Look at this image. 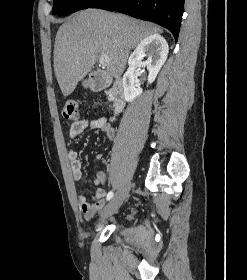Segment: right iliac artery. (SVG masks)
Wrapping results in <instances>:
<instances>
[{
	"label": "right iliac artery",
	"instance_id": "right-iliac-artery-1",
	"mask_svg": "<svg viewBox=\"0 0 247 280\" xmlns=\"http://www.w3.org/2000/svg\"><path fill=\"white\" fill-rule=\"evenodd\" d=\"M113 197V191H109V193L107 194V201H109L111 198Z\"/></svg>",
	"mask_w": 247,
	"mask_h": 280
}]
</instances>
